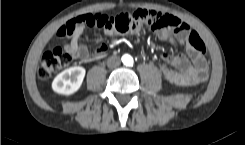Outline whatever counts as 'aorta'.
I'll return each mask as SVG.
<instances>
[{
	"mask_svg": "<svg viewBox=\"0 0 245 145\" xmlns=\"http://www.w3.org/2000/svg\"><path fill=\"white\" fill-rule=\"evenodd\" d=\"M122 62L124 65L129 66L133 63V58L130 55H123L122 56Z\"/></svg>",
	"mask_w": 245,
	"mask_h": 145,
	"instance_id": "obj_1",
	"label": "aorta"
}]
</instances>
